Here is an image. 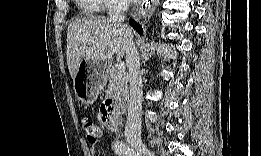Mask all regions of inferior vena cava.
Wrapping results in <instances>:
<instances>
[{"label": "inferior vena cava", "instance_id": "602c4592", "mask_svg": "<svg viewBox=\"0 0 261 156\" xmlns=\"http://www.w3.org/2000/svg\"><path fill=\"white\" fill-rule=\"evenodd\" d=\"M127 9L126 0H115L108 12L110 20L127 29L128 26L124 24ZM126 62L129 68L130 98L125 136L131 145H141L142 73L139 53L133 41L128 43Z\"/></svg>", "mask_w": 261, "mask_h": 156}]
</instances>
